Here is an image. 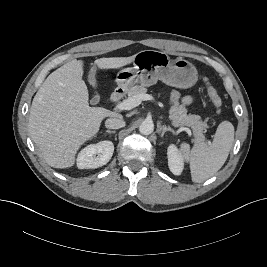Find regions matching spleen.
I'll use <instances>...</instances> for the list:
<instances>
[{
    "mask_svg": "<svg viewBox=\"0 0 267 267\" xmlns=\"http://www.w3.org/2000/svg\"><path fill=\"white\" fill-rule=\"evenodd\" d=\"M234 141V126L229 121L221 122L213 142L196 143L192 148L187 143L180 145L185 160L190 165L191 178L195 183L212 177L224 165Z\"/></svg>",
    "mask_w": 267,
    "mask_h": 267,
    "instance_id": "spleen-1",
    "label": "spleen"
}]
</instances>
